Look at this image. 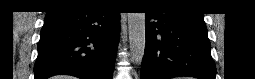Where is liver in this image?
<instances>
[{
	"label": "liver",
	"instance_id": "liver-1",
	"mask_svg": "<svg viewBox=\"0 0 255 79\" xmlns=\"http://www.w3.org/2000/svg\"><path fill=\"white\" fill-rule=\"evenodd\" d=\"M56 78H57V79H72V78L69 77V76H57Z\"/></svg>",
	"mask_w": 255,
	"mask_h": 79
}]
</instances>
